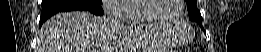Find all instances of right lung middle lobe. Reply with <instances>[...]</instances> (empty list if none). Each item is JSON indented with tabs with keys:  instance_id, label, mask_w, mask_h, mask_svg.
I'll list each match as a JSON object with an SVG mask.
<instances>
[{
	"instance_id": "1",
	"label": "right lung middle lobe",
	"mask_w": 261,
	"mask_h": 52,
	"mask_svg": "<svg viewBox=\"0 0 261 52\" xmlns=\"http://www.w3.org/2000/svg\"><path fill=\"white\" fill-rule=\"evenodd\" d=\"M90 3L96 4V5H101L102 0H93V1H90Z\"/></svg>"
}]
</instances>
